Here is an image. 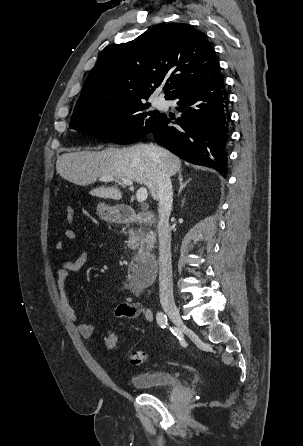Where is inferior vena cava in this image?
Returning a JSON list of instances; mask_svg holds the SVG:
<instances>
[{"instance_id": "1", "label": "inferior vena cava", "mask_w": 303, "mask_h": 446, "mask_svg": "<svg viewBox=\"0 0 303 446\" xmlns=\"http://www.w3.org/2000/svg\"><path fill=\"white\" fill-rule=\"evenodd\" d=\"M159 198V296L160 301L173 302V281L171 265V228L169 216L172 210L173 190L170 175L161 171L158 177Z\"/></svg>"}]
</instances>
